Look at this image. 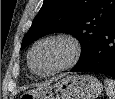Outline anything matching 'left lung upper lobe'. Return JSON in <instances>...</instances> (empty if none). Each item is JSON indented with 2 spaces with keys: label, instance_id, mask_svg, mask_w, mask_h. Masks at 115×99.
<instances>
[{
  "label": "left lung upper lobe",
  "instance_id": "1",
  "mask_svg": "<svg viewBox=\"0 0 115 99\" xmlns=\"http://www.w3.org/2000/svg\"><path fill=\"white\" fill-rule=\"evenodd\" d=\"M115 19V0H44L21 49L47 34L70 33L81 44L82 61Z\"/></svg>",
  "mask_w": 115,
  "mask_h": 99
}]
</instances>
